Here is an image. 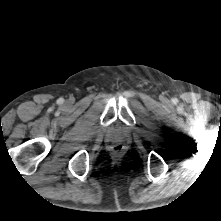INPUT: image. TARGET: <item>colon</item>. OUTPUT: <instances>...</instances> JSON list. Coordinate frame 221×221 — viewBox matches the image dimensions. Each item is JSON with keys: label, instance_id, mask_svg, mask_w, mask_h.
Segmentation results:
<instances>
[{"label": "colon", "instance_id": "obj_1", "mask_svg": "<svg viewBox=\"0 0 221 221\" xmlns=\"http://www.w3.org/2000/svg\"><path fill=\"white\" fill-rule=\"evenodd\" d=\"M113 152L119 153L123 150V146L121 144H116L112 147Z\"/></svg>", "mask_w": 221, "mask_h": 221}]
</instances>
